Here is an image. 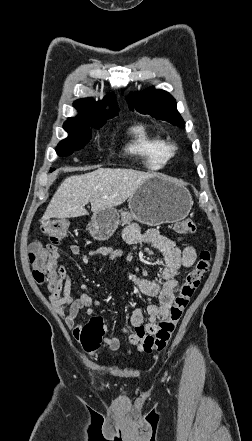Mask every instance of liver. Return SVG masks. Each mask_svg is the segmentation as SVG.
<instances>
[{
	"mask_svg": "<svg viewBox=\"0 0 252 441\" xmlns=\"http://www.w3.org/2000/svg\"><path fill=\"white\" fill-rule=\"evenodd\" d=\"M154 174L133 169L99 168L95 171L67 177L53 195L42 221L50 218H74L87 215V203L91 211L121 205Z\"/></svg>",
	"mask_w": 252,
	"mask_h": 441,
	"instance_id": "1",
	"label": "liver"
}]
</instances>
